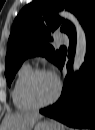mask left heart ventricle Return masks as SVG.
Returning a JSON list of instances; mask_svg holds the SVG:
<instances>
[{
	"instance_id": "b2bd125f",
	"label": "left heart ventricle",
	"mask_w": 95,
	"mask_h": 130,
	"mask_svg": "<svg viewBox=\"0 0 95 130\" xmlns=\"http://www.w3.org/2000/svg\"><path fill=\"white\" fill-rule=\"evenodd\" d=\"M57 85L54 78L49 74L36 75L30 83L29 95L36 103L50 100L56 93Z\"/></svg>"
}]
</instances>
